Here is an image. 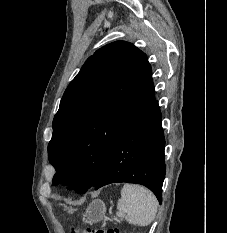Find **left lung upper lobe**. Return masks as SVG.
Listing matches in <instances>:
<instances>
[{
  "instance_id": "1",
  "label": "left lung upper lobe",
  "mask_w": 227,
  "mask_h": 233,
  "mask_svg": "<svg viewBox=\"0 0 227 233\" xmlns=\"http://www.w3.org/2000/svg\"><path fill=\"white\" fill-rule=\"evenodd\" d=\"M155 101L146 54L116 41L98 49L71 81L53 119V184L94 187L124 131Z\"/></svg>"
}]
</instances>
